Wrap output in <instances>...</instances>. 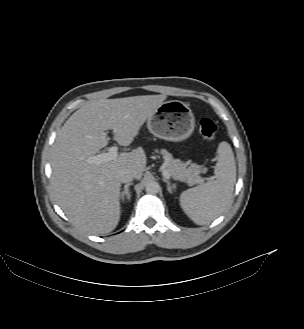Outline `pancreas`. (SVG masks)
Returning <instances> with one entry per match:
<instances>
[{
	"instance_id": "pancreas-1",
	"label": "pancreas",
	"mask_w": 304,
	"mask_h": 329,
	"mask_svg": "<svg viewBox=\"0 0 304 329\" xmlns=\"http://www.w3.org/2000/svg\"><path fill=\"white\" fill-rule=\"evenodd\" d=\"M161 154L164 158L163 168L167 170L170 176L175 180L186 182L189 185L199 184L204 181L203 178L199 176V174L206 172V168H203L197 164H191L188 166L187 163H184L178 159H174L172 155L165 149L161 150Z\"/></svg>"
}]
</instances>
